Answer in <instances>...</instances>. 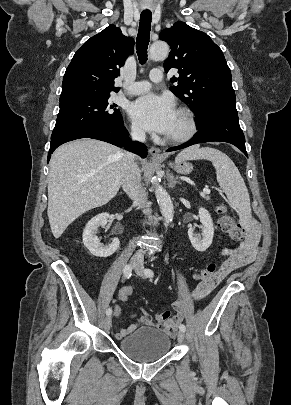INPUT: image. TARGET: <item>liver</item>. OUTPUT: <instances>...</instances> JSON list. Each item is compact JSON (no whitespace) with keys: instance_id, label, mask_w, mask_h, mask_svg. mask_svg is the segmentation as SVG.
<instances>
[{"instance_id":"obj_1","label":"liver","mask_w":291,"mask_h":405,"mask_svg":"<svg viewBox=\"0 0 291 405\" xmlns=\"http://www.w3.org/2000/svg\"><path fill=\"white\" fill-rule=\"evenodd\" d=\"M122 157L119 148L94 139L75 140L55 150L50 160L47 209L55 238L83 213L116 196Z\"/></svg>"}]
</instances>
